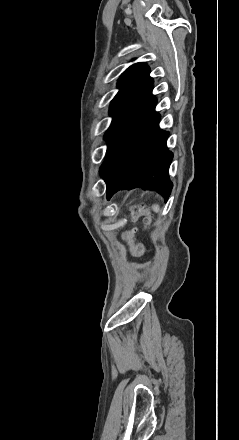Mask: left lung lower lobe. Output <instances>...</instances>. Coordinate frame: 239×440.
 Returning <instances> with one entry per match:
<instances>
[{
    "instance_id": "0a47b994",
    "label": "left lung lower lobe",
    "mask_w": 239,
    "mask_h": 440,
    "mask_svg": "<svg viewBox=\"0 0 239 440\" xmlns=\"http://www.w3.org/2000/svg\"><path fill=\"white\" fill-rule=\"evenodd\" d=\"M151 90L152 86L104 136L108 149L100 173L107 184V199L118 190L136 187L157 189L165 200L171 193L169 132L158 127L160 115L155 112L157 100Z\"/></svg>"
}]
</instances>
